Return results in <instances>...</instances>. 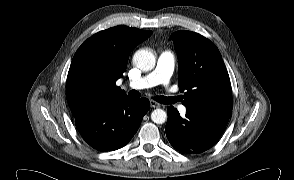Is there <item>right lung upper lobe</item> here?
<instances>
[{
  "mask_svg": "<svg viewBox=\"0 0 294 180\" xmlns=\"http://www.w3.org/2000/svg\"><path fill=\"white\" fill-rule=\"evenodd\" d=\"M151 34L120 25L94 34L78 48L66 84L67 102L73 115L127 97L115 83L123 77L132 49Z\"/></svg>",
  "mask_w": 294,
  "mask_h": 180,
  "instance_id": "obj_1",
  "label": "right lung upper lobe"
}]
</instances>
